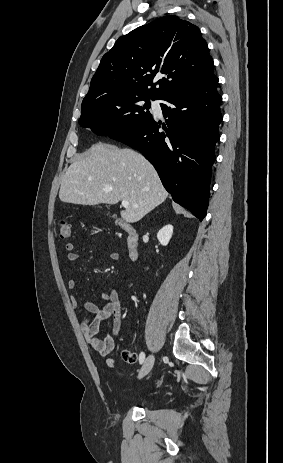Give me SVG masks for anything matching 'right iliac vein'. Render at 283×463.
<instances>
[{
  "instance_id": "63e3f726",
  "label": "right iliac vein",
  "mask_w": 283,
  "mask_h": 463,
  "mask_svg": "<svg viewBox=\"0 0 283 463\" xmlns=\"http://www.w3.org/2000/svg\"><path fill=\"white\" fill-rule=\"evenodd\" d=\"M154 361H155V357H154L153 354H150L146 358V360H145V362H144V364H143V366H142V368H141V370L139 372V375H138L139 379L145 377L151 371V369H152V367L154 365Z\"/></svg>"
}]
</instances>
